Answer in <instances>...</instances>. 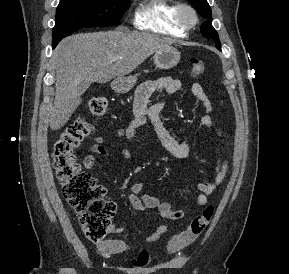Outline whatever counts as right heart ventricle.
I'll use <instances>...</instances> for the list:
<instances>
[{"label":"right heart ventricle","instance_id":"1","mask_svg":"<svg viewBox=\"0 0 289 274\" xmlns=\"http://www.w3.org/2000/svg\"><path fill=\"white\" fill-rule=\"evenodd\" d=\"M177 5L171 0H144L135 11L134 24L141 30L182 37L186 30L174 20Z\"/></svg>","mask_w":289,"mask_h":274}]
</instances>
